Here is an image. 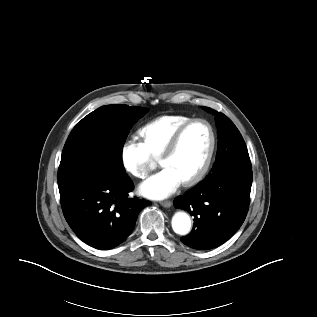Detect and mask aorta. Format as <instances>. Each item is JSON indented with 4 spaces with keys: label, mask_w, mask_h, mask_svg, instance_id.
<instances>
[{
    "label": "aorta",
    "mask_w": 317,
    "mask_h": 317,
    "mask_svg": "<svg viewBox=\"0 0 317 317\" xmlns=\"http://www.w3.org/2000/svg\"><path fill=\"white\" fill-rule=\"evenodd\" d=\"M172 228L176 234L187 235L191 230L190 216L185 212H177L172 218Z\"/></svg>",
    "instance_id": "1"
}]
</instances>
